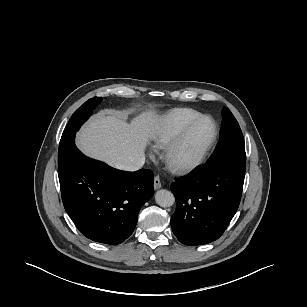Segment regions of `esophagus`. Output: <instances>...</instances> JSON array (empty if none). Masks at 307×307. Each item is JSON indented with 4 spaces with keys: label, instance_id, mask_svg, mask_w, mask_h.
<instances>
[{
    "label": "esophagus",
    "instance_id": "obj_1",
    "mask_svg": "<svg viewBox=\"0 0 307 307\" xmlns=\"http://www.w3.org/2000/svg\"><path fill=\"white\" fill-rule=\"evenodd\" d=\"M161 188V180L159 176H155L154 178V189H160Z\"/></svg>",
    "mask_w": 307,
    "mask_h": 307
}]
</instances>
